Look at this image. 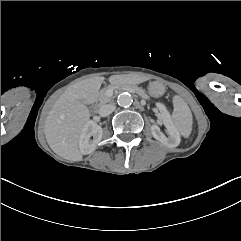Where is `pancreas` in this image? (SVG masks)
<instances>
[{"label":"pancreas","mask_w":241,"mask_h":241,"mask_svg":"<svg viewBox=\"0 0 241 241\" xmlns=\"http://www.w3.org/2000/svg\"><path fill=\"white\" fill-rule=\"evenodd\" d=\"M133 90V89H132ZM136 92H138L137 90H136ZM141 93V92H140ZM143 94H145V93H143ZM146 95V94H145ZM148 96V95H147ZM149 99H150V97H149ZM98 100H99V102H100V104L102 105V104H105V103H108V102H110L111 100H112V97H108L107 95H106V88H104V89H102L101 91H100V95H99V98H98Z\"/></svg>","instance_id":"1"}]
</instances>
